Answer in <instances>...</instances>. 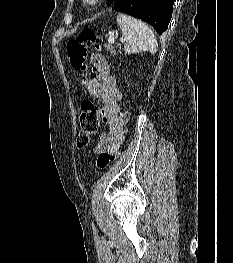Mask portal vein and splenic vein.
<instances>
[{
    "instance_id": "portal-vein-and-splenic-vein-1",
    "label": "portal vein and splenic vein",
    "mask_w": 233,
    "mask_h": 263,
    "mask_svg": "<svg viewBox=\"0 0 233 263\" xmlns=\"http://www.w3.org/2000/svg\"><path fill=\"white\" fill-rule=\"evenodd\" d=\"M116 37H117V35L111 34L110 37H109V39H108V42H109V43H114ZM120 41H121V42H125L126 39L123 38V37H121V38H120Z\"/></svg>"
}]
</instances>
